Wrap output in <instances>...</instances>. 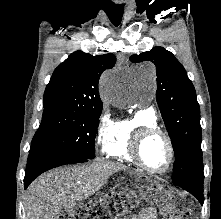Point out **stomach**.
I'll return each instance as SVG.
<instances>
[{"label": "stomach", "mask_w": 221, "mask_h": 219, "mask_svg": "<svg viewBox=\"0 0 221 219\" xmlns=\"http://www.w3.org/2000/svg\"><path fill=\"white\" fill-rule=\"evenodd\" d=\"M139 182L150 184L145 186V204H164V199H171L170 190H164L159 178H140Z\"/></svg>", "instance_id": "1"}]
</instances>
